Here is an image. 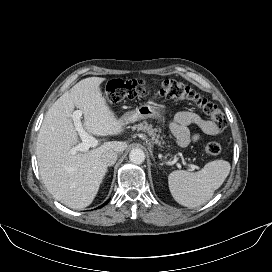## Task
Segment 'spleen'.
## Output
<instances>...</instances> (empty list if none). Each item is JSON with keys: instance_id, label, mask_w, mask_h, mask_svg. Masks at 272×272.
I'll list each match as a JSON object with an SVG mask.
<instances>
[{"instance_id": "3e777b00", "label": "spleen", "mask_w": 272, "mask_h": 272, "mask_svg": "<svg viewBox=\"0 0 272 272\" xmlns=\"http://www.w3.org/2000/svg\"><path fill=\"white\" fill-rule=\"evenodd\" d=\"M229 172L230 163L225 160L209 162L195 173L184 170L173 171L168 176L169 190L180 205L196 208L212 198Z\"/></svg>"}]
</instances>
